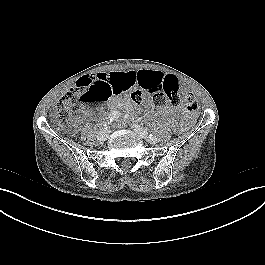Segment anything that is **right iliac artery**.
Wrapping results in <instances>:
<instances>
[{
  "mask_svg": "<svg viewBox=\"0 0 265 265\" xmlns=\"http://www.w3.org/2000/svg\"><path fill=\"white\" fill-rule=\"evenodd\" d=\"M120 117V113L118 111H113L109 114V116L106 118V122L104 124L105 129L108 128V125L112 123L114 120H117Z\"/></svg>",
  "mask_w": 265,
  "mask_h": 265,
  "instance_id": "right-iliac-artery-1",
  "label": "right iliac artery"
}]
</instances>
